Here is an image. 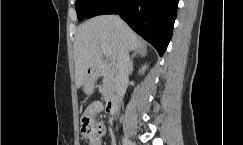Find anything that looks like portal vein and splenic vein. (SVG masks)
Returning <instances> with one entry per match:
<instances>
[{"label":"portal vein and splenic vein","instance_id":"1","mask_svg":"<svg viewBox=\"0 0 243 145\" xmlns=\"http://www.w3.org/2000/svg\"><path fill=\"white\" fill-rule=\"evenodd\" d=\"M101 49H102V51H103V53H104V55H105L106 57H110V56H111V52H110V50L107 49L105 46L101 45Z\"/></svg>","mask_w":243,"mask_h":145}]
</instances>
